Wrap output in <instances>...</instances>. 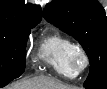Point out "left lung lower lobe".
I'll list each match as a JSON object with an SVG mask.
<instances>
[{
    "label": "left lung lower lobe",
    "mask_w": 107,
    "mask_h": 89,
    "mask_svg": "<svg viewBox=\"0 0 107 89\" xmlns=\"http://www.w3.org/2000/svg\"><path fill=\"white\" fill-rule=\"evenodd\" d=\"M86 89H107V80L91 85L89 87H86Z\"/></svg>",
    "instance_id": "0a47b994"
}]
</instances>
